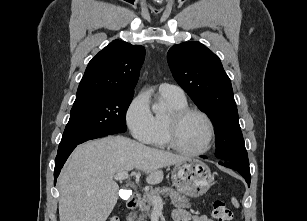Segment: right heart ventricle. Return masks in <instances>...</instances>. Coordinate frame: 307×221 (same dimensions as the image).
Returning <instances> with one entry per match:
<instances>
[{
  "mask_svg": "<svg viewBox=\"0 0 307 221\" xmlns=\"http://www.w3.org/2000/svg\"><path fill=\"white\" fill-rule=\"evenodd\" d=\"M161 97L169 106V112L162 114L157 113L154 116V131L151 140V144L159 147H166L167 146V117L169 113L175 109H180L187 107L186 99H178L169 97L166 95H162Z\"/></svg>",
  "mask_w": 307,
  "mask_h": 221,
  "instance_id": "right-heart-ventricle-1",
  "label": "right heart ventricle"
}]
</instances>
